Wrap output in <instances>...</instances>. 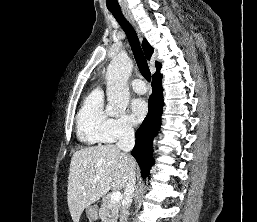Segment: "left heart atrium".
<instances>
[{
  "mask_svg": "<svg viewBox=\"0 0 257 222\" xmlns=\"http://www.w3.org/2000/svg\"><path fill=\"white\" fill-rule=\"evenodd\" d=\"M131 111L134 122L138 123L142 121L148 112V106L144 99L137 98L131 103Z\"/></svg>",
  "mask_w": 257,
  "mask_h": 222,
  "instance_id": "obj_1",
  "label": "left heart atrium"
}]
</instances>
